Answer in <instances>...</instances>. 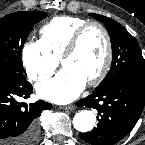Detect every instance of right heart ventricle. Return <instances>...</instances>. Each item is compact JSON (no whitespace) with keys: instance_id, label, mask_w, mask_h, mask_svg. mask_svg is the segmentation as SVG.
I'll list each match as a JSON object with an SVG mask.
<instances>
[{"instance_id":"obj_1","label":"right heart ventricle","mask_w":145,"mask_h":145,"mask_svg":"<svg viewBox=\"0 0 145 145\" xmlns=\"http://www.w3.org/2000/svg\"><path fill=\"white\" fill-rule=\"evenodd\" d=\"M88 22L78 16H56L39 30L40 42L54 58H60L75 30Z\"/></svg>"}]
</instances>
